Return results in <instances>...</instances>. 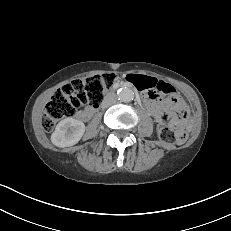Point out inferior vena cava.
I'll use <instances>...</instances> for the list:
<instances>
[{"mask_svg":"<svg viewBox=\"0 0 231 231\" xmlns=\"http://www.w3.org/2000/svg\"><path fill=\"white\" fill-rule=\"evenodd\" d=\"M105 102L107 105H112L116 102V96L114 94H109L106 98H105Z\"/></svg>","mask_w":231,"mask_h":231,"instance_id":"1","label":"inferior vena cava"}]
</instances>
